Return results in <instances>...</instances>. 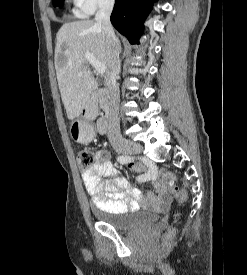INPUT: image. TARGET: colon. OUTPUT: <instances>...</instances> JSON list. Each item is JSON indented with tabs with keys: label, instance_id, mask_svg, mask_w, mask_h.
Instances as JSON below:
<instances>
[{
	"label": "colon",
	"instance_id": "obj_1",
	"mask_svg": "<svg viewBox=\"0 0 247 275\" xmlns=\"http://www.w3.org/2000/svg\"><path fill=\"white\" fill-rule=\"evenodd\" d=\"M94 156L93 154L87 150H81L78 154V165L82 169H87L94 163ZM161 181L166 185L167 189L170 191L172 195L177 197L180 201H183L186 198V193L184 190H181L177 187L174 182L176 180V175L172 172H165L160 175ZM175 233V229L172 228L167 232L166 238L170 239Z\"/></svg>",
	"mask_w": 247,
	"mask_h": 275
}]
</instances>
